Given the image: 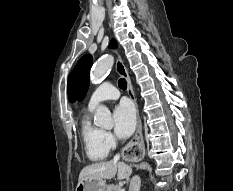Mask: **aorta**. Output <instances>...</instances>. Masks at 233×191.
<instances>
[{
  "label": "aorta",
  "mask_w": 233,
  "mask_h": 191,
  "mask_svg": "<svg viewBox=\"0 0 233 191\" xmlns=\"http://www.w3.org/2000/svg\"><path fill=\"white\" fill-rule=\"evenodd\" d=\"M114 58L106 56L98 61L92 68L90 79L93 84H97L110 71L113 66ZM96 125L103 128H112L113 121L109 109L105 106H99L94 115Z\"/></svg>",
  "instance_id": "1"
}]
</instances>
